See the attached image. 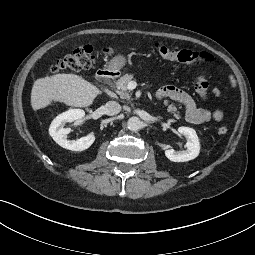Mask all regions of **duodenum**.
<instances>
[{
	"label": "duodenum",
	"mask_w": 255,
	"mask_h": 255,
	"mask_svg": "<svg viewBox=\"0 0 255 255\" xmlns=\"http://www.w3.org/2000/svg\"><path fill=\"white\" fill-rule=\"evenodd\" d=\"M116 77H117L116 71L110 70L106 67L99 69L96 73V79L99 81L115 79Z\"/></svg>",
	"instance_id": "410a0bca"
}]
</instances>
